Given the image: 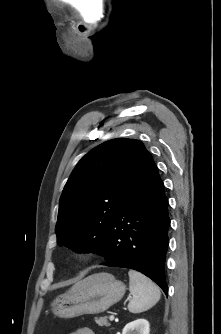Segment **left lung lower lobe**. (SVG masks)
I'll use <instances>...</instances> for the list:
<instances>
[{"label": "left lung lower lobe", "instance_id": "left-lung-lower-lobe-1", "mask_svg": "<svg viewBox=\"0 0 221 334\" xmlns=\"http://www.w3.org/2000/svg\"><path fill=\"white\" fill-rule=\"evenodd\" d=\"M169 226L168 199L153 163L128 194L110 226L104 265L142 272L167 294Z\"/></svg>", "mask_w": 221, "mask_h": 334}]
</instances>
